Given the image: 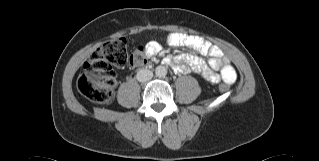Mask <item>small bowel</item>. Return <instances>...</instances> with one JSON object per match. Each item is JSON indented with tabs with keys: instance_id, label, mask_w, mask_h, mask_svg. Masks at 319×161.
<instances>
[{
	"instance_id": "1",
	"label": "small bowel",
	"mask_w": 319,
	"mask_h": 161,
	"mask_svg": "<svg viewBox=\"0 0 319 161\" xmlns=\"http://www.w3.org/2000/svg\"><path fill=\"white\" fill-rule=\"evenodd\" d=\"M167 40L171 45L188 46L203 56H210L208 66L201 57L190 53H180L172 58H165V62L169 64L175 72H193L212 83H218L221 80L227 83L234 82L236 78V71L229 61L226 58H223V52L219 47L199 36L186 33H170ZM157 46H160V50L158 52H154V49ZM160 51L161 45L159 42L150 41L146 44V53L149 56L157 54L161 55L162 53H159ZM217 70H220V73H217Z\"/></svg>"
}]
</instances>
